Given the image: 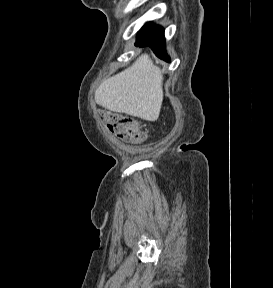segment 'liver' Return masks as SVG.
Returning a JSON list of instances; mask_svg holds the SVG:
<instances>
[{
    "mask_svg": "<svg viewBox=\"0 0 273 288\" xmlns=\"http://www.w3.org/2000/svg\"><path fill=\"white\" fill-rule=\"evenodd\" d=\"M163 76L143 54L124 71L105 80L95 91V101L109 111L156 121L163 101Z\"/></svg>",
    "mask_w": 273,
    "mask_h": 288,
    "instance_id": "6515ba94",
    "label": "liver"
}]
</instances>
